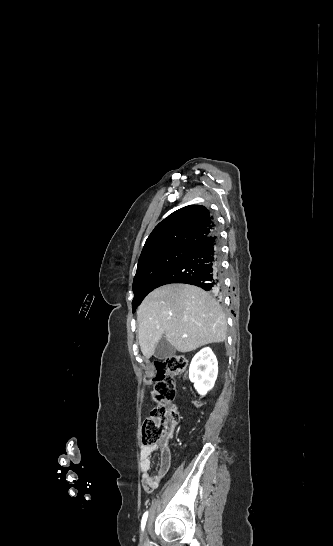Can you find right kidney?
I'll list each match as a JSON object with an SVG mask.
<instances>
[{"mask_svg": "<svg viewBox=\"0 0 333 546\" xmlns=\"http://www.w3.org/2000/svg\"><path fill=\"white\" fill-rule=\"evenodd\" d=\"M217 374V359L210 348H203L195 354L189 367V379L200 395L204 396L214 387Z\"/></svg>", "mask_w": 333, "mask_h": 546, "instance_id": "obj_1", "label": "right kidney"}]
</instances>
